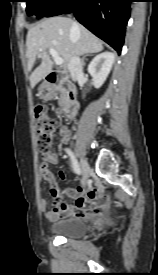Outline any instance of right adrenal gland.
I'll list each match as a JSON object with an SVG mask.
<instances>
[{"label":"right adrenal gland","instance_id":"1","mask_svg":"<svg viewBox=\"0 0 158 275\" xmlns=\"http://www.w3.org/2000/svg\"><path fill=\"white\" fill-rule=\"evenodd\" d=\"M93 54H87L85 55L83 58H82V63H83V66H85V59L88 57V56H91Z\"/></svg>","mask_w":158,"mask_h":275}]
</instances>
